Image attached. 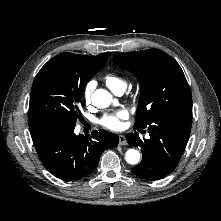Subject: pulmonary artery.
Returning a JSON list of instances; mask_svg holds the SVG:
<instances>
[{
  "mask_svg": "<svg viewBox=\"0 0 221 221\" xmlns=\"http://www.w3.org/2000/svg\"><path fill=\"white\" fill-rule=\"evenodd\" d=\"M124 88L123 89H119V90H117L115 93L117 94V95H122L123 93H124Z\"/></svg>",
  "mask_w": 221,
  "mask_h": 221,
  "instance_id": "obj_1",
  "label": "pulmonary artery"
}]
</instances>
